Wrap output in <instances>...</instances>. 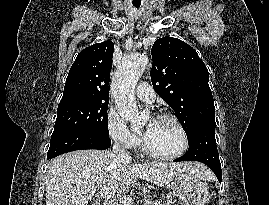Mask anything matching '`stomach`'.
Returning <instances> with one entry per match:
<instances>
[{
    "mask_svg": "<svg viewBox=\"0 0 269 205\" xmlns=\"http://www.w3.org/2000/svg\"><path fill=\"white\" fill-rule=\"evenodd\" d=\"M171 193L182 205H207L210 200L206 182L191 173L175 176L171 183Z\"/></svg>",
    "mask_w": 269,
    "mask_h": 205,
    "instance_id": "0dacf381",
    "label": "stomach"
}]
</instances>
